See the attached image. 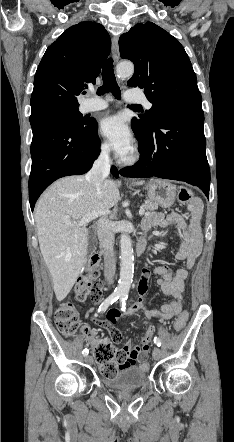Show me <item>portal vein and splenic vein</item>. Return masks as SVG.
Instances as JSON below:
<instances>
[{
	"mask_svg": "<svg viewBox=\"0 0 234 442\" xmlns=\"http://www.w3.org/2000/svg\"><path fill=\"white\" fill-rule=\"evenodd\" d=\"M111 214V211L109 209L107 210H100V211H96V212H92L87 214L86 216H84L79 222H77L76 224L71 226H85L86 224H88L89 222H91L93 219L99 217V216H103V215H108ZM145 214V210L144 208H140L139 210V215L142 216Z\"/></svg>",
	"mask_w": 234,
	"mask_h": 442,
	"instance_id": "18ae733b",
	"label": "portal vein and splenic vein"
}]
</instances>
